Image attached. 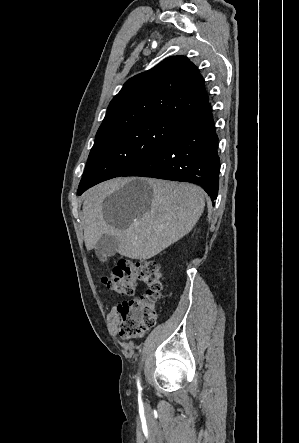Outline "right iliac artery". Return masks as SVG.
<instances>
[{
    "instance_id": "1",
    "label": "right iliac artery",
    "mask_w": 299,
    "mask_h": 443,
    "mask_svg": "<svg viewBox=\"0 0 299 443\" xmlns=\"http://www.w3.org/2000/svg\"><path fill=\"white\" fill-rule=\"evenodd\" d=\"M137 386H138V390H139V391L142 390V387H141V385H140V381H139V379L137 380Z\"/></svg>"
}]
</instances>
